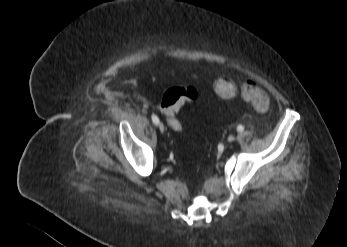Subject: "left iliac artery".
I'll use <instances>...</instances> for the list:
<instances>
[{
  "mask_svg": "<svg viewBox=\"0 0 347 247\" xmlns=\"http://www.w3.org/2000/svg\"><path fill=\"white\" fill-rule=\"evenodd\" d=\"M244 130V127L242 125L237 126V131L242 132Z\"/></svg>",
  "mask_w": 347,
  "mask_h": 247,
  "instance_id": "44dca946",
  "label": "left iliac artery"
}]
</instances>
